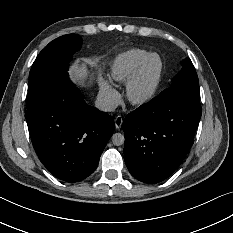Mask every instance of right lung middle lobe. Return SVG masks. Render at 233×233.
Listing matches in <instances>:
<instances>
[{
	"label": "right lung middle lobe",
	"mask_w": 233,
	"mask_h": 233,
	"mask_svg": "<svg viewBox=\"0 0 233 233\" xmlns=\"http://www.w3.org/2000/svg\"><path fill=\"white\" fill-rule=\"evenodd\" d=\"M81 45L78 34H68L53 40L39 53L30 70L27 109L42 101L68 77L69 62Z\"/></svg>",
	"instance_id": "obj_1"
}]
</instances>
